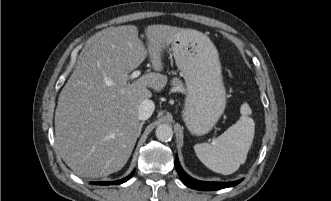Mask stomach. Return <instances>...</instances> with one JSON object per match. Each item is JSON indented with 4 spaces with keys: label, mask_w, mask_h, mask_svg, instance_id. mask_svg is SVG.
<instances>
[{
    "label": "stomach",
    "mask_w": 331,
    "mask_h": 201,
    "mask_svg": "<svg viewBox=\"0 0 331 201\" xmlns=\"http://www.w3.org/2000/svg\"><path fill=\"white\" fill-rule=\"evenodd\" d=\"M186 84L183 120L191 134H207L226 107V90L216 47L205 34L185 29L171 44Z\"/></svg>",
    "instance_id": "0dacf381"
}]
</instances>
